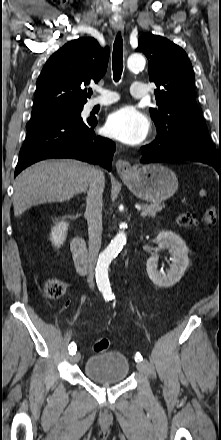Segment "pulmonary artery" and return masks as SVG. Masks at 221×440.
<instances>
[{
	"label": "pulmonary artery",
	"instance_id": "e3ab8cb5",
	"mask_svg": "<svg viewBox=\"0 0 221 440\" xmlns=\"http://www.w3.org/2000/svg\"><path fill=\"white\" fill-rule=\"evenodd\" d=\"M101 96L99 98L90 100L86 105V110H90L95 106H107L116 102L119 97L117 94L107 90H100ZM130 93L135 98H144L147 96L148 90L146 86L139 82H134L130 86Z\"/></svg>",
	"mask_w": 221,
	"mask_h": 440
}]
</instances>
